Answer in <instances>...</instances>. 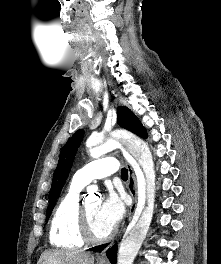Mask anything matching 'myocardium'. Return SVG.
<instances>
[{
    "mask_svg": "<svg viewBox=\"0 0 221 264\" xmlns=\"http://www.w3.org/2000/svg\"><path fill=\"white\" fill-rule=\"evenodd\" d=\"M77 225H78L79 235L85 243H90V244L104 243L109 239H111L114 234L113 228L106 235L102 237H97L93 234L88 219L85 200L79 203L78 214H77Z\"/></svg>",
    "mask_w": 221,
    "mask_h": 264,
    "instance_id": "myocardium-1",
    "label": "myocardium"
}]
</instances>
